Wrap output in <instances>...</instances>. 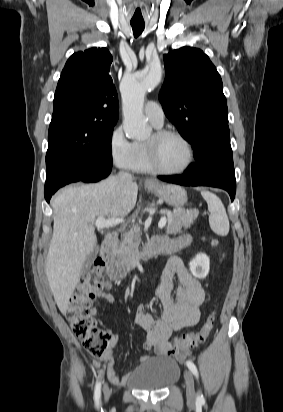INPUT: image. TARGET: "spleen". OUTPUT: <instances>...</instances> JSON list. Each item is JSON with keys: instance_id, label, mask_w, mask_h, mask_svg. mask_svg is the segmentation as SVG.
Here are the masks:
<instances>
[{"instance_id": "1", "label": "spleen", "mask_w": 283, "mask_h": 412, "mask_svg": "<svg viewBox=\"0 0 283 412\" xmlns=\"http://www.w3.org/2000/svg\"><path fill=\"white\" fill-rule=\"evenodd\" d=\"M202 197L208 204L209 224L213 232L220 236L229 233V220L225 207L219 197L209 191H202Z\"/></svg>"}]
</instances>
